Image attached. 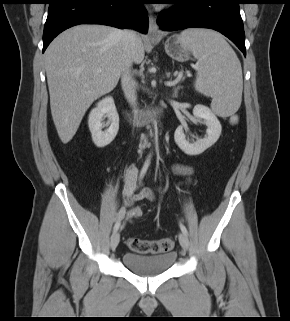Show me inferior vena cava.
Instances as JSON below:
<instances>
[{"label": "inferior vena cava", "mask_w": 290, "mask_h": 321, "mask_svg": "<svg viewBox=\"0 0 290 321\" xmlns=\"http://www.w3.org/2000/svg\"><path fill=\"white\" fill-rule=\"evenodd\" d=\"M136 33L133 30H124L121 31V42L123 49L126 53L131 54L135 44H136ZM131 66L132 63L127 60L126 69L121 76V85L125 97L129 104L133 107L135 115L138 113L137 109V92H136V82L131 77Z\"/></svg>", "instance_id": "inferior-vena-cava-1"}]
</instances>
